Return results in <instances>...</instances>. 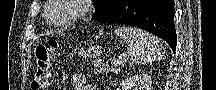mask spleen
<instances>
[{"instance_id":"obj_1","label":"spleen","mask_w":216,"mask_h":90,"mask_svg":"<svg viewBox=\"0 0 216 90\" xmlns=\"http://www.w3.org/2000/svg\"><path fill=\"white\" fill-rule=\"evenodd\" d=\"M116 36H120L127 46V54L134 64H147L158 60L161 44L153 34L139 28H117Z\"/></svg>"}]
</instances>
